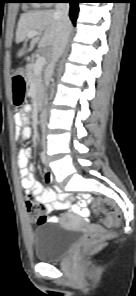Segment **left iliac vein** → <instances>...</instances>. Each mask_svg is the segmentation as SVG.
Masks as SVG:
<instances>
[{"instance_id": "1", "label": "left iliac vein", "mask_w": 136, "mask_h": 296, "mask_svg": "<svg viewBox=\"0 0 136 296\" xmlns=\"http://www.w3.org/2000/svg\"><path fill=\"white\" fill-rule=\"evenodd\" d=\"M46 163L48 164V158L46 157Z\"/></svg>"}]
</instances>
